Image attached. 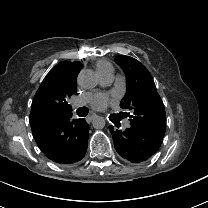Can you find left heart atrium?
Instances as JSON below:
<instances>
[{"label":"left heart atrium","mask_w":208,"mask_h":208,"mask_svg":"<svg viewBox=\"0 0 208 208\" xmlns=\"http://www.w3.org/2000/svg\"><path fill=\"white\" fill-rule=\"evenodd\" d=\"M89 102L95 110H104L108 106V98L104 95L93 96Z\"/></svg>","instance_id":"39dd6f15"}]
</instances>
